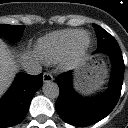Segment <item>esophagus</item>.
Segmentation results:
<instances>
[{"label":"esophagus","instance_id":"1","mask_svg":"<svg viewBox=\"0 0 128 128\" xmlns=\"http://www.w3.org/2000/svg\"><path fill=\"white\" fill-rule=\"evenodd\" d=\"M43 81L44 83H50L53 81V76L50 73H44Z\"/></svg>","mask_w":128,"mask_h":128}]
</instances>
